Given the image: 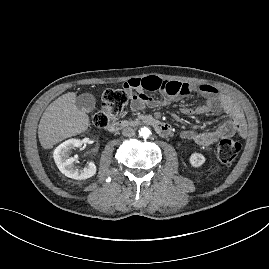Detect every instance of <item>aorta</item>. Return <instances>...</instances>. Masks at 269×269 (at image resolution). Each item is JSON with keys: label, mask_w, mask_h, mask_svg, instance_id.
I'll return each instance as SVG.
<instances>
[{"label": "aorta", "mask_w": 269, "mask_h": 269, "mask_svg": "<svg viewBox=\"0 0 269 269\" xmlns=\"http://www.w3.org/2000/svg\"><path fill=\"white\" fill-rule=\"evenodd\" d=\"M139 135L143 138H148L151 135V130L148 127H143L139 130Z\"/></svg>", "instance_id": "1"}]
</instances>
